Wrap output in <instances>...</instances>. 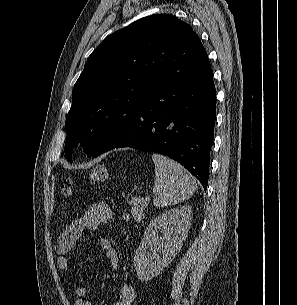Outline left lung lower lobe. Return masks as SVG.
Returning <instances> with one entry per match:
<instances>
[{
	"label": "left lung lower lobe",
	"mask_w": 297,
	"mask_h": 305,
	"mask_svg": "<svg viewBox=\"0 0 297 305\" xmlns=\"http://www.w3.org/2000/svg\"><path fill=\"white\" fill-rule=\"evenodd\" d=\"M216 90L210 65L152 92L102 153L120 147L160 153L188 169L206 190L214 137ZM101 153V154H102Z\"/></svg>",
	"instance_id": "0a47b994"
}]
</instances>
